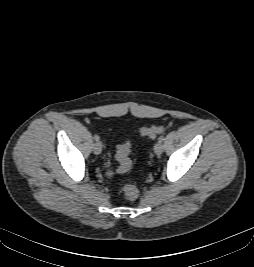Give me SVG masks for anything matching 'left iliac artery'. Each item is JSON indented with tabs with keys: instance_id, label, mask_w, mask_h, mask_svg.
<instances>
[{
	"instance_id": "44dca946",
	"label": "left iliac artery",
	"mask_w": 254,
	"mask_h": 267,
	"mask_svg": "<svg viewBox=\"0 0 254 267\" xmlns=\"http://www.w3.org/2000/svg\"><path fill=\"white\" fill-rule=\"evenodd\" d=\"M164 139H165L164 136H160L159 139H158V141H159V142H163Z\"/></svg>"
}]
</instances>
